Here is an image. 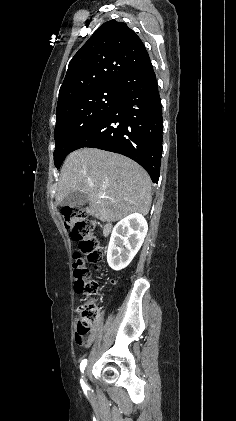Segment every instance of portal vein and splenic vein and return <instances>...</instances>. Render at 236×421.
Wrapping results in <instances>:
<instances>
[{
    "label": "portal vein and splenic vein",
    "instance_id": "obj_1",
    "mask_svg": "<svg viewBox=\"0 0 236 421\" xmlns=\"http://www.w3.org/2000/svg\"><path fill=\"white\" fill-rule=\"evenodd\" d=\"M89 186H92V188H93V186H95V184H89ZM105 198H110V196H105ZM126 200H127V198H126Z\"/></svg>",
    "mask_w": 236,
    "mask_h": 421
}]
</instances>
